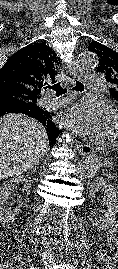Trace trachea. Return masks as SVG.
I'll list each match as a JSON object with an SVG mask.
<instances>
[{
  "instance_id": "obj_1",
  "label": "trachea",
  "mask_w": 118,
  "mask_h": 269,
  "mask_svg": "<svg viewBox=\"0 0 118 269\" xmlns=\"http://www.w3.org/2000/svg\"><path fill=\"white\" fill-rule=\"evenodd\" d=\"M47 88L53 89L56 92V95H62L67 92V89L64 88L60 83L54 84V85H48ZM74 89L76 91L82 92L84 90V85L76 80Z\"/></svg>"
}]
</instances>
